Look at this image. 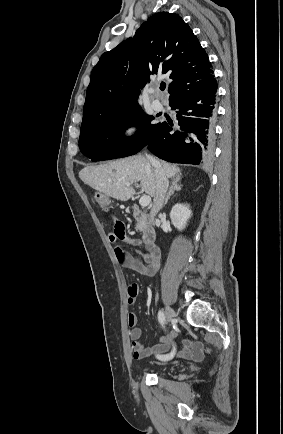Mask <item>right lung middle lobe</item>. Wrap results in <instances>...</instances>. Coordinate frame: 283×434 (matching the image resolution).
Wrapping results in <instances>:
<instances>
[{"instance_id": "obj_1", "label": "right lung middle lobe", "mask_w": 283, "mask_h": 434, "mask_svg": "<svg viewBox=\"0 0 283 434\" xmlns=\"http://www.w3.org/2000/svg\"><path fill=\"white\" fill-rule=\"evenodd\" d=\"M153 118L141 107L113 115L95 125L80 129L79 147L92 161L109 160L136 154L156 133L160 124H151ZM139 130L132 137L123 136L130 126Z\"/></svg>"}]
</instances>
